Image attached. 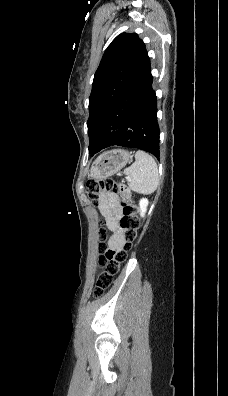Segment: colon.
Here are the masks:
<instances>
[{
  "instance_id": "1",
  "label": "colon",
  "mask_w": 228,
  "mask_h": 396,
  "mask_svg": "<svg viewBox=\"0 0 228 396\" xmlns=\"http://www.w3.org/2000/svg\"><path fill=\"white\" fill-rule=\"evenodd\" d=\"M88 197L92 203L97 206L99 195L103 192H116L120 195L123 205V215L120 226L123 236V244L120 248L107 247L104 241L107 239V232L100 229L99 249L103 252L99 258L98 264L103 269L97 278L95 295L100 296L111 286L114 277L119 272L120 265L127 258V251L132 247L138 238L139 221L136 216L137 209L131 203L128 189L117 181L106 178L101 180L89 179L86 183Z\"/></svg>"
}]
</instances>
